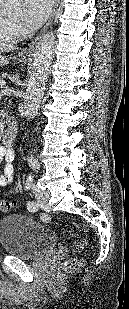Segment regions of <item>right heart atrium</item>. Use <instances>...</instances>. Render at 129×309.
<instances>
[{
  "label": "right heart atrium",
  "instance_id": "right-heart-atrium-1",
  "mask_svg": "<svg viewBox=\"0 0 129 309\" xmlns=\"http://www.w3.org/2000/svg\"><path fill=\"white\" fill-rule=\"evenodd\" d=\"M15 31H16L17 34L20 33V29L17 26H15Z\"/></svg>",
  "mask_w": 129,
  "mask_h": 309
}]
</instances>
